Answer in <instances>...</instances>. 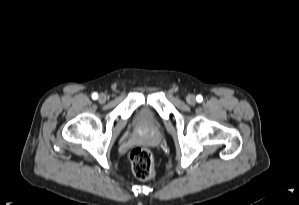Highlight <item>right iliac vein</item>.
Instances as JSON below:
<instances>
[{
  "label": "right iliac vein",
  "mask_w": 299,
  "mask_h": 205,
  "mask_svg": "<svg viewBox=\"0 0 299 205\" xmlns=\"http://www.w3.org/2000/svg\"><path fill=\"white\" fill-rule=\"evenodd\" d=\"M106 99H107V97H106V95L105 94H100L99 95V97H98V101H99V103H105L106 102Z\"/></svg>",
  "instance_id": "63e3f726"
}]
</instances>
